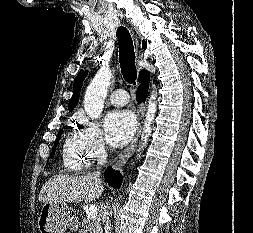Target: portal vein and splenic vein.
<instances>
[{"instance_id": "18ae733b", "label": "portal vein and splenic vein", "mask_w": 253, "mask_h": 233, "mask_svg": "<svg viewBox=\"0 0 253 233\" xmlns=\"http://www.w3.org/2000/svg\"><path fill=\"white\" fill-rule=\"evenodd\" d=\"M98 215V208L96 205H90L89 207V217H91L92 219L97 218Z\"/></svg>"}]
</instances>
